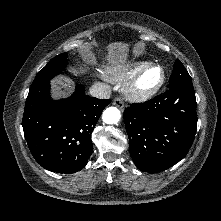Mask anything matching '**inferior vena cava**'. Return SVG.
Segmentation results:
<instances>
[{
  "mask_svg": "<svg viewBox=\"0 0 221 221\" xmlns=\"http://www.w3.org/2000/svg\"><path fill=\"white\" fill-rule=\"evenodd\" d=\"M90 95L100 98V99H107L111 95V89L109 85H105L103 83H96L91 86Z\"/></svg>",
  "mask_w": 221,
  "mask_h": 221,
  "instance_id": "obj_1",
  "label": "inferior vena cava"
}]
</instances>
